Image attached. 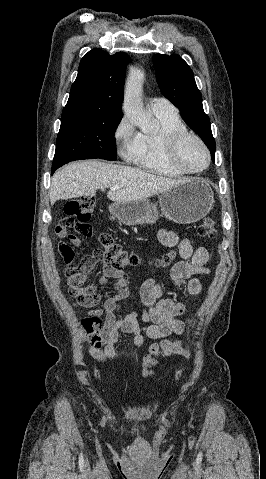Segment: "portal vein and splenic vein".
I'll use <instances>...</instances> for the list:
<instances>
[{
	"label": "portal vein and splenic vein",
	"instance_id": "portal-vein-and-splenic-vein-1",
	"mask_svg": "<svg viewBox=\"0 0 266 479\" xmlns=\"http://www.w3.org/2000/svg\"><path fill=\"white\" fill-rule=\"evenodd\" d=\"M111 189H112V190H116V189H118V187H112Z\"/></svg>",
	"mask_w": 266,
	"mask_h": 479
}]
</instances>
